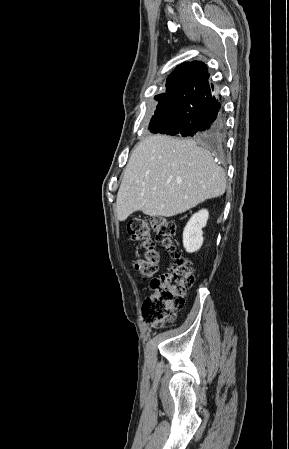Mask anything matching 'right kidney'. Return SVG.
Segmentation results:
<instances>
[{
  "label": "right kidney",
  "instance_id": "ca27d5eb",
  "mask_svg": "<svg viewBox=\"0 0 289 449\" xmlns=\"http://www.w3.org/2000/svg\"><path fill=\"white\" fill-rule=\"evenodd\" d=\"M209 218L208 210L193 214L183 231V246L188 253L196 252L203 244V231Z\"/></svg>",
  "mask_w": 289,
  "mask_h": 449
}]
</instances>
